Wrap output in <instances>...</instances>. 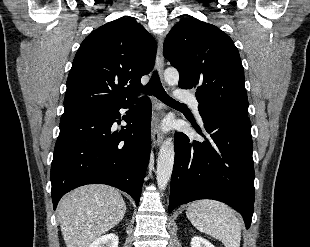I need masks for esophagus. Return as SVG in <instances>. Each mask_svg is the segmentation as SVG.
<instances>
[{"label": "esophagus", "mask_w": 310, "mask_h": 247, "mask_svg": "<svg viewBox=\"0 0 310 247\" xmlns=\"http://www.w3.org/2000/svg\"><path fill=\"white\" fill-rule=\"evenodd\" d=\"M157 68L160 74H162L164 69V57H163V37L161 35L158 36V50H157ZM155 108L159 110L161 105L155 99ZM152 141L155 147L159 146L162 143L163 135L159 127V120L155 117L154 122L152 124L151 129Z\"/></svg>", "instance_id": "obj_1"}]
</instances>
